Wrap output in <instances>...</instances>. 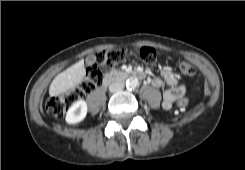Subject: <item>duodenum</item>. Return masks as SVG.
<instances>
[{"label": "duodenum", "instance_id": "410a0bca", "mask_svg": "<svg viewBox=\"0 0 245 170\" xmlns=\"http://www.w3.org/2000/svg\"><path fill=\"white\" fill-rule=\"evenodd\" d=\"M141 72L139 71H131V72H111L108 73L103 80V84L106 86L108 84H110L111 82H115V81H119V80H123V79H127L130 77L133 78H141Z\"/></svg>", "mask_w": 245, "mask_h": 170}]
</instances>
